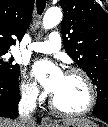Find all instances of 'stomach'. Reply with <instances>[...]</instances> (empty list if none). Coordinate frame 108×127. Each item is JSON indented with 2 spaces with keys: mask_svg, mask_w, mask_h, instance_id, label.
Instances as JSON below:
<instances>
[{
  "mask_svg": "<svg viewBox=\"0 0 108 127\" xmlns=\"http://www.w3.org/2000/svg\"><path fill=\"white\" fill-rule=\"evenodd\" d=\"M47 127H98L96 124H87V125H81L79 123H64L59 124L58 122H54L52 125H47Z\"/></svg>",
  "mask_w": 108,
  "mask_h": 127,
  "instance_id": "0dacf381",
  "label": "stomach"
}]
</instances>
